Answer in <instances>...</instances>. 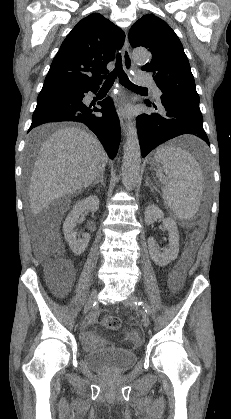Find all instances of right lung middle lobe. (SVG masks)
<instances>
[{
  "instance_id": "1",
  "label": "right lung middle lobe",
  "mask_w": 231,
  "mask_h": 419,
  "mask_svg": "<svg viewBox=\"0 0 231 419\" xmlns=\"http://www.w3.org/2000/svg\"><path fill=\"white\" fill-rule=\"evenodd\" d=\"M78 92V89H74L71 87L60 86V85H53L43 87L41 92L38 95L37 100H44L47 98H54V97H72L75 96ZM35 143L38 142V139L34 141Z\"/></svg>"
}]
</instances>
